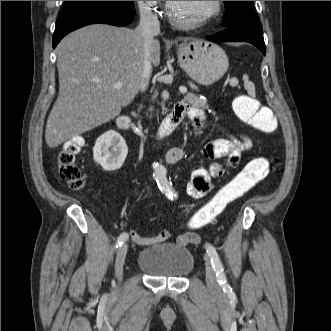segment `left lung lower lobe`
<instances>
[{
    "mask_svg": "<svg viewBox=\"0 0 331 331\" xmlns=\"http://www.w3.org/2000/svg\"><path fill=\"white\" fill-rule=\"evenodd\" d=\"M210 41H244L249 42L259 48L265 55V43L263 29L260 20L242 23L227 27L222 32L207 37Z\"/></svg>",
    "mask_w": 331,
    "mask_h": 331,
    "instance_id": "0a47b994",
    "label": "left lung lower lobe"
}]
</instances>
